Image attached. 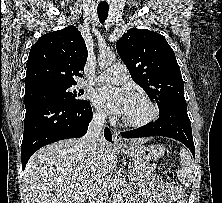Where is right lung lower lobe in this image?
Listing matches in <instances>:
<instances>
[{"label":"right lung lower lobe","instance_id":"1","mask_svg":"<svg viewBox=\"0 0 222 203\" xmlns=\"http://www.w3.org/2000/svg\"><path fill=\"white\" fill-rule=\"evenodd\" d=\"M92 116L88 101L78 105L43 102L27 107L21 147L22 168L25 169L29 158L41 147L84 136ZM104 136L106 140L112 141L108 128H105Z\"/></svg>","mask_w":222,"mask_h":203}]
</instances>
